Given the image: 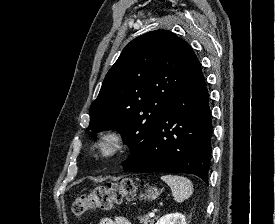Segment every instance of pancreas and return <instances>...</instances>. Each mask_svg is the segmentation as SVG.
Returning <instances> with one entry per match:
<instances>
[{
	"instance_id": "obj_1",
	"label": "pancreas",
	"mask_w": 275,
	"mask_h": 224,
	"mask_svg": "<svg viewBox=\"0 0 275 224\" xmlns=\"http://www.w3.org/2000/svg\"><path fill=\"white\" fill-rule=\"evenodd\" d=\"M155 218L149 219L148 215L139 217L140 224H152Z\"/></svg>"
}]
</instances>
